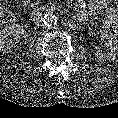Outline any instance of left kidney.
Returning a JSON list of instances; mask_svg holds the SVG:
<instances>
[{
  "instance_id": "5707ae66",
  "label": "left kidney",
  "mask_w": 118,
  "mask_h": 118,
  "mask_svg": "<svg viewBox=\"0 0 118 118\" xmlns=\"http://www.w3.org/2000/svg\"><path fill=\"white\" fill-rule=\"evenodd\" d=\"M100 35L107 40L108 50L101 52L97 51L95 56L98 60L113 61L118 57V39L117 37L107 30H101Z\"/></svg>"
}]
</instances>
